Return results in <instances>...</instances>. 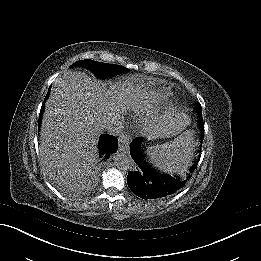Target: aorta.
I'll return each instance as SVG.
<instances>
[{
    "label": "aorta",
    "instance_id": "obj_1",
    "mask_svg": "<svg viewBox=\"0 0 261 261\" xmlns=\"http://www.w3.org/2000/svg\"><path fill=\"white\" fill-rule=\"evenodd\" d=\"M115 163L124 171L136 170V164L129 154L118 151L115 155Z\"/></svg>",
    "mask_w": 261,
    "mask_h": 261
}]
</instances>
